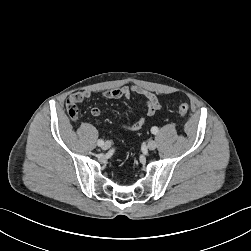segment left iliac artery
<instances>
[{
    "mask_svg": "<svg viewBox=\"0 0 251 251\" xmlns=\"http://www.w3.org/2000/svg\"><path fill=\"white\" fill-rule=\"evenodd\" d=\"M152 134H157L158 133V128L156 126L151 128Z\"/></svg>",
    "mask_w": 251,
    "mask_h": 251,
    "instance_id": "44dca946",
    "label": "left iliac artery"
}]
</instances>
